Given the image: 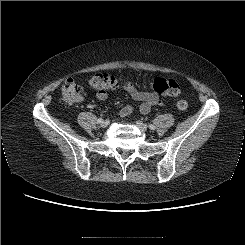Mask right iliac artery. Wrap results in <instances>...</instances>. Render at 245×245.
Instances as JSON below:
<instances>
[{
  "label": "right iliac artery",
  "mask_w": 245,
  "mask_h": 245,
  "mask_svg": "<svg viewBox=\"0 0 245 245\" xmlns=\"http://www.w3.org/2000/svg\"><path fill=\"white\" fill-rule=\"evenodd\" d=\"M102 120H103L102 118H99V119L97 120V123H101Z\"/></svg>",
  "instance_id": "82829eb1"
}]
</instances>
